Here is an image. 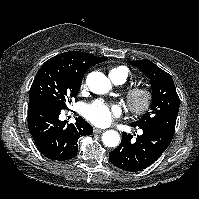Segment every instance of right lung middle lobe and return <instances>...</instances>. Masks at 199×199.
Listing matches in <instances>:
<instances>
[{
	"instance_id": "obj_1",
	"label": "right lung middle lobe",
	"mask_w": 199,
	"mask_h": 199,
	"mask_svg": "<svg viewBox=\"0 0 199 199\" xmlns=\"http://www.w3.org/2000/svg\"><path fill=\"white\" fill-rule=\"evenodd\" d=\"M82 78L44 64L39 69L29 92V100L47 97L64 109L78 95Z\"/></svg>"
}]
</instances>
